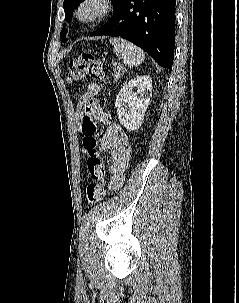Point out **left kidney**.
<instances>
[{"instance_id": "left-kidney-1", "label": "left kidney", "mask_w": 239, "mask_h": 303, "mask_svg": "<svg viewBox=\"0 0 239 303\" xmlns=\"http://www.w3.org/2000/svg\"><path fill=\"white\" fill-rule=\"evenodd\" d=\"M137 89L136 92L133 89ZM152 96V80L147 76L137 77L126 83L115 101L119 122L127 130H137L144 121L145 111ZM128 104V111L124 108Z\"/></svg>"}]
</instances>
